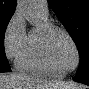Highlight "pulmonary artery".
<instances>
[{"instance_id":"1","label":"pulmonary artery","mask_w":89,"mask_h":89,"mask_svg":"<svg viewBox=\"0 0 89 89\" xmlns=\"http://www.w3.org/2000/svg\"><path fill=\"white\" fill-rule=\"evenodd\" d=\"M34 6H35V9L37 10V12L40 13L41 15H43V16L48 15L47 1H45V0L34 1Z\"/></svg>"}]
</instances>
